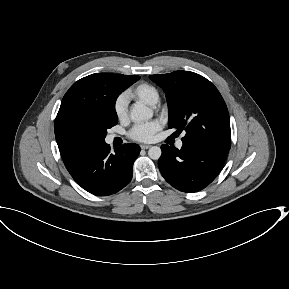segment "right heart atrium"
<instances>
[{
  "label": "right heart atrium",
  "instance_id": "right-heart-atrium-1",
  "mask_svg": "<svg viewBox=\"0 0 289 289\" xmlns=\"http://www.w3.org/2000/svg\"><path fill=\"white\" fill-rule=\"evenodd\" d=\"M114 113L119 120H124L128 116V99L125 95H120L114 102Z\"/></svg>",
  "mask_w": 289,
  "mask_h": 289
}]
</instances>
